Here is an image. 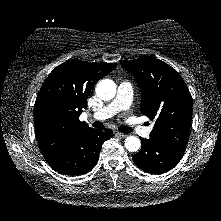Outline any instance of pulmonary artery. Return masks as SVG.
<instances>
[{"instance_id": "1", "label": "pulmonary artery", "mask_w": 221, "mask_h": 221, "mask_svg": "<svg viewBox=\"0 0 221 221\" xmlns=\"http://www.w3.org/2000/svg\"><path fill=\"white\" fill-rule=\"evenodd\" d=\"M133 97L132 85L128 81L121 82L118 86L116 97L103 108L93 113L91 118L94 120L108 119L120 111L129 109ZM132 130L142 137H149L152 132V127H144L141 125L131 126Z\"/></svg>"}]
</instances>
